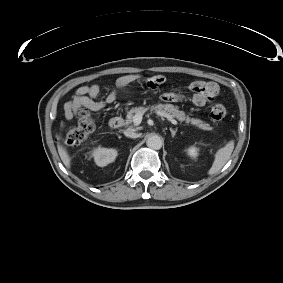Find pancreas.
<instances>
[{"instance_id":"pancreas-1","label":"pancreas","mask_w":283,"mask_h":283,"mask_svg":"<svg viewBox=\"0 0 283 283\" xmlns=\"http://www.w3.org/2000/svg\"><path fill=\"white\" fill-rule=\"evenodd\" d=\"M148 110L151 112H156L160 116H163V117H167L169 115L173 118H176L177 120L181 122L185 121L186 123H191L192 125H195L203 130L212 129L209 124L203 122L200 119L190 118L189 116L185 114L184 111H180L177 106H174L172 104H155V105L148 106V107L132 108L127 114L126 122L131 123L133 121V117L135 114L137 113L144 114Z\"/></svg>"}]
</instances>
